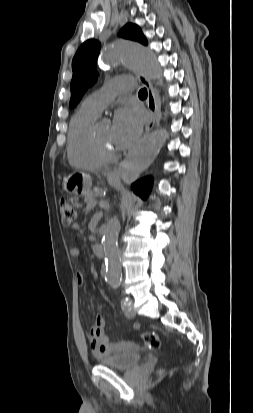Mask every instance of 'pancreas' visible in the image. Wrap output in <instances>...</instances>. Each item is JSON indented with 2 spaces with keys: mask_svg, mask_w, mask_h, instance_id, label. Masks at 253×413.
<instances>
[{
  "mask_svg": "<svg viewBox=\"0 0 253 413\" xmlns=\"http://www.w3.org/2000/svg\"><path fill=\"white\" fill-rule=\"evenodd\" d=\"M102 195V191L99 189H96L94 191H91L85 196V202L87 204V208H91L96 204V198Z\"/></svg>",
  "mask_w": 253,
  "mask_h": 413,
  "instance_id": "pancreas-1",
  "label": "pancreas"
}]
</instances>
